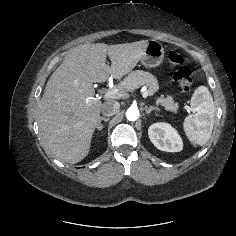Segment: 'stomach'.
Returning a JSON list of instances; mask_svg holds the SVG:
<instances>
[{
	"mask_svg": "<svg viewBox=\"0 0 236 236\" xmlns=\"http://www.w3.org/2000/svg\"><path fill=\"white\" fill-rule=\"evenodd\" d=\"M164 58V48L157 40H150L145 48L144 54L140 59L141 64L148 67L159 66Z\"/></svg>",
	"mask_w": 236,
	"mask_h": 236,
	"instance_id": "1",
	"label": "stomach"
}]
</instances>
